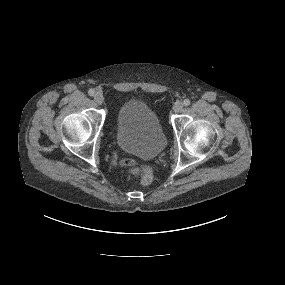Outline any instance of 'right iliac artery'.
I'll return each instance as SVG.
<instances>
[{
  "label": "right iliac artery",
  "mask_w": 285,
  "mask_h": 285,
  "mask_svg": "<svg viewBox=\"0 0 285 285\" xmlns=\"http://www.w3.org/2000/svg\"><path fill=\"white\" fill-rule=\"evenodd\" d=\"M88 94H89L90 96H94V95H95V90H94V89H90V90L88 91Z\"/></svg>",
  "instance_id": "right-iliac-artery-1"
}]
</instances>
